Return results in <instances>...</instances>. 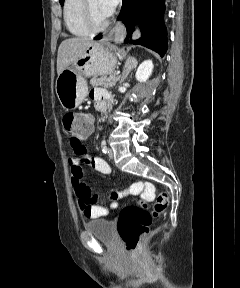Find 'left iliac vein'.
Instances as JSON below:
<instances>
[{"label": "left iliac vein", "instance_id": "1", "mask_svg": "<svg viewBox=\"0 0 240 288\" xmlns=\"http://www.w3.org/2000/svg\"><path fill=\"white\" fill-rule=\"evenodd\" d=\"M108 156H109L110 159H113V158H114V152H113V150H109Z\"/></svg>", "mask_w": 240, "mask_h": 288}]
</instances>
